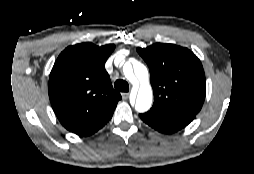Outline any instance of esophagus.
Returning a JSON list of instances; mask_svg holds the SVG:
<instances>
[{"instance_id":"esophagus-1","label":"esophagus","mask_w":254,"mask_h":174,"mask_svg":"<svg viewBox=\"0 0 254 174\" xmlns=\"http://www.w3.org/2000/svg\"><path fill=\"white\" fill-rule=\"evenodd\" d=\"M121 95L124 100H127L129 98V93H122Z\"/></svg>"}]
</instances>
